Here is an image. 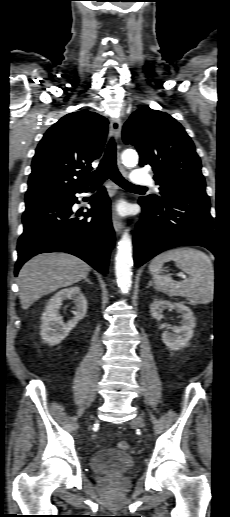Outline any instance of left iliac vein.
<instances>
[{"instance_id":"left-iliac-vein-1","label":"left iliac vein","mask_w":230,"mask_h":517,"mask_svg":"<svg viewBox=\"0 0 230 517\" xmlns=\"http://www.w3.org/2000/svg\"><path fill=\"white\" fill-rule=\"evenodd\" d=\"M134 422H135L138 426H140V427H142V428L144 427V420H143V418H142V416H141V415H138V416L134 419Z\"/></svg>"}]
</instances>
